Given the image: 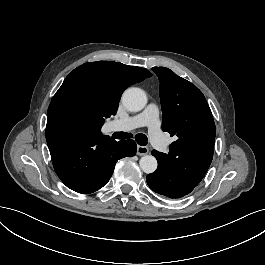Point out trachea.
Listing matches in <instances>:
<instances>
[{"label": "trachea", "instance_id": "1", "mask_svg": "<svg viewBox=\"0 0 265 265\" xmlns=\"http://www.w3.org/2000/svg\"><path fill=\"white\" fill-rule=\"evenodd\" d=\"M116 134L118 139H128L132 137L131 134L124 132H117ZM135 140L141 146H146V144L148 143L147 136L142 133L137 134L135 136Z\"/></svg>", "mask_w": 265, "mask_h": 265}]
</instances>
